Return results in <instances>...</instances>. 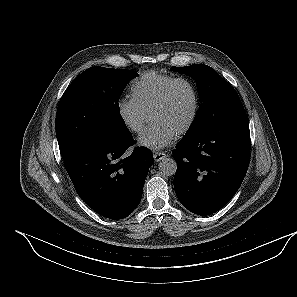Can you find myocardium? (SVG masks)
<instances>
[{
	"instance_id": "myocardium-1",
	"label": "myocardium",
	"mask_w": 297,
	"mask_h": 297,
	"mask_svg": "<svg viewBox=\"0 0 297 297\" xmlns=\"http://www.w3.org/2000/svg\"><path fill=\"white\" fill-rule=\"evenodd\" d=\"M179 83H183V84L187 85L188 88L190 89V92L192 95V100H193V105H192V111H191L189 119L176 133V136H178V137L185 135L186 133H188L191 130V128L195 124L196 119L199 114V109H200L199 94H198L196 86L194 85V83L191 80H189L188 78H185V77H176L173 80H171L165 86V88L161 92L159 98L154 103V105L152 106V108L149 112V116H151V114L153 112L162 108L167 103L169 96L171 94V91L174 88V86Z\"/></svg>"
}]
</instances>
